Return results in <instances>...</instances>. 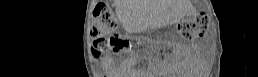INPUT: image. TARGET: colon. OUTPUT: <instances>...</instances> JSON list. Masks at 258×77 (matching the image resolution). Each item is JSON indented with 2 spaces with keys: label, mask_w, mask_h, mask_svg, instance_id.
<instances>
[{
  "label": "colon",
  "mask_w": 258,
  "mask_h": 77,
  "mask_svg": "<svg viewBox=\"0 0 258 77\" xmlns=\"http://www.w3.org/2000/svg\"><path fill=\"white\" fill-rule=\"evenodd\" d=\"M208 24V16L199 14L193 21L180 25L178 32L186 39L202 37L207 31ZM117 26V20L107 6L95 8L91 31V37L93 38L92 50L95 56L103 50L118 51L125 47V42L114 34Z\"/></svg>",
  "instance_id": "5ec220e1"
}]
</instances>
